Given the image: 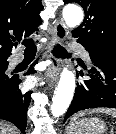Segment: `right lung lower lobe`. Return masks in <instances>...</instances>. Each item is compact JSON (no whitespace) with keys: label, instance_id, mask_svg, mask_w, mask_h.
<instances>
[{"label":"right lung lower lobe","instance_id":"98d812e1","mask_svg":"<svg viewBox=\"0 0 116 134\" xmlns=\"http://www.w3.org/2000/svg\"><path fill=\"white\" fill-rule=\"evenodd\" d=\"M28 73L34 72L30 69ZM20 82L21 80L14 79L11 85L0 89V118L13 123L25 133L31 92H21Z\"/></svg>","mask_w":116,"mask_h":134}]
</instances>
